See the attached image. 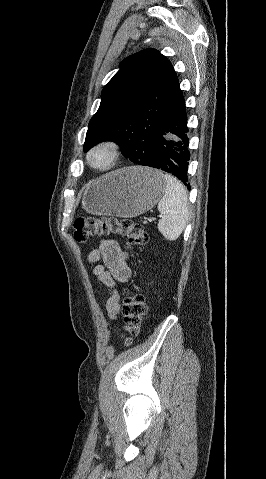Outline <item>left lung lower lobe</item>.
I'll list each match as a JSON object with an SVG mask.
<instances>
[{"label": "left lung lower lobe", "instance_id": "left-lung-lower-lobe-1", "mask_svg": "<svg viewBox=\"0 0 266 479\" xmlns=\"http://www.w3.org/2000/svg\"><path fill=\"white\" fill-rule=\"evenodd\" d=\"M187 133L186 107L180 90L162 120L151 161L144 165L176 176L190 189L187 177L190 160Z\"/></svg>", "mask_w": 266, "mask_h": 479}]
</instances>
